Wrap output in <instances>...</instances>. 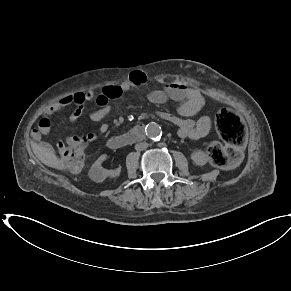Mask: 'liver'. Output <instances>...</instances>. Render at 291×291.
Segmentation results:
<instances>
[{"label":"liver","mask_w":291,"mask_h":291,"mask_svg":"<svg viewBox=\"0 0 291 291\" xmlns=\"http://www.w3.org/2000/svg\"><path fill=\"white\" fill-rule=\"evenodd\" d=\"M31 147L35 156L45 165L58 170L66 169L64 161L57 157L50 145H40L32 142Z\"/></svg>","instance_id":"6515ba94"}]
</instances>
